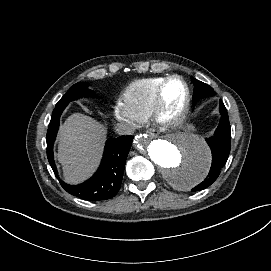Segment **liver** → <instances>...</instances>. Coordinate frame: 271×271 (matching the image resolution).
Returning a JSON list of instances; mask_svg holds the SVG:
<instances>
[{
  "label": "liver",
  "instance_id": "liver-1",
  "mask_svg": "<svg viewBox=\"0 0 271 271\" xmlns=\"http://www.w3.org/2000/svg\"><path fill=\"white\" fill-rule=\"evenodd\" d=\"M104 134L101 125L82 114H74L66 120L60 133L57 158L68 182L81 181L94 169Z\"/></svg>",
  "mask_w": 271,
  "mask_h": 271
}]
</instances>
